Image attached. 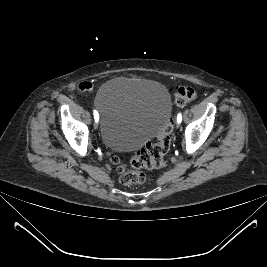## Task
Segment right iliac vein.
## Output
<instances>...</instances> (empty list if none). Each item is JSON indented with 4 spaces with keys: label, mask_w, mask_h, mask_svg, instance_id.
Instances as JSON below:
<instances>
[{
    "label": "right iliac vein",
    "mask_w": 267,
    "mask_h": 267,
    "mask_svg": "<svg viewBox=\"0 0 267 267\" xmlns=\"http://www.w3.org/2000/svg\"><path fill=\"white\" fill-rule=\"evenodd\" d=\"M94 128L98 129V123L97 122L94 123Z\"/></svg>",
    "instance_id": "obj_1"
}]
</instances>
